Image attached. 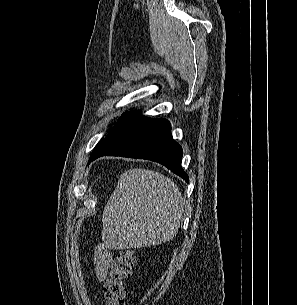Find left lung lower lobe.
Segmentation results:
<instances>
[{"label": "left lung lower lobe", "instance_id": "0a47b994", "mask_svg": "<svg viewBox=\"0 0 297 305\" xmlns=\"http://www.w3.org/2000/svg\"><path fill=\"white\" fill-rule=\"evenodd\" d=\"M182 147L173 140L166 119L142 116L140 111L125 112L91 154L90 162L101 156H123L161 163L189 182L181 167Z\"/></svg>", "mask_w": 297, "mask_h": 305}]
</instances>
